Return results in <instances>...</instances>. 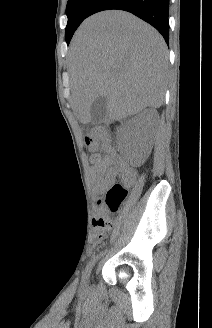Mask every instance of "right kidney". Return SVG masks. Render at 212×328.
<instances>
[{"instance_id": "right-kidney-1", "label": "right kidney", "mask_w": 212, "mask_h": 328, "mask_svg": "<svg viewBox=\"0 0 212 328\" xmlns=\"http://www.w3.org/2000/svg\"><path fill=\"white\" fill-rule=\"evenodd\" d=\"M158 121L159 114L153 108L145 109L126 121L123 126L124 137L134 151H138L144 146L145 141L155 132Z\"/></svg>"}]
</instances>
